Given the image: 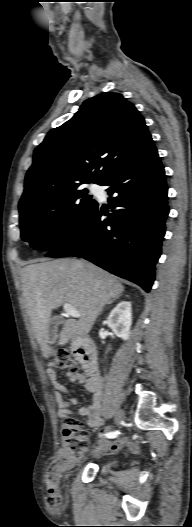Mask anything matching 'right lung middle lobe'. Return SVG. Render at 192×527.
I'll return each mask as SVG.
<instances>
[{
    "instance_id": "obj_1",
    "label": "right lung middle lobe",
    "mask_w": 192,
    "mask_h": 527,
    "mask_svg": "<svg viewBox=\"0 0 192 527\" xmlns=\"http://www.w3.org/2000/svg\"><path fill=\"white\" fill-rule=\"evenodd\" d=\"M96 204L79 186L49 200L19 206L21 238L34 249L52 250L85 223Z\"/></svg>"
}]
</instances>
